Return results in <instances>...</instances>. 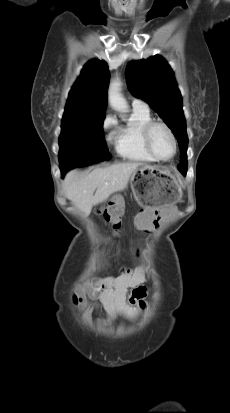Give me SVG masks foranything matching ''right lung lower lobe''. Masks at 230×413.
Masks as SVG:
<instances>
[{
	"label": "right lung lower lobe",
	"mask_w": 230,
	"mask_h": 413,
	"mask_svg": "<svg viewBox=\"0 0 230 413\" xmlns=\"http://www.w3.org/2000/svg\"><path fill=\"white\" fill-rule=\"evenodd\" d=\"M61 173H62V175H64V174H65V172H64L63 170H61Z\"/></svg>",
	"instance_id": "obj_1"
}]
</instances>
